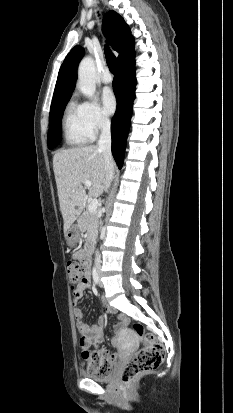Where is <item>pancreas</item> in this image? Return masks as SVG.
<instances>
[{
  "label": "pancreas",
  "mask_w": 233,
  "mask_h": 413,
  "mask_svg": "<svg viewBox=\"0 0 233 413\" xmlns=\"http://www.w3.org/2000/svg\"><path fill=\"white\" fill-rule=\"evenodd\" d=\"M78 227L81 232H87V242L94 241L98 229V215L95 212H84L78 219Z\"/></svg>",
  "instance_id": "cf45deb5"
}]
</instances>
